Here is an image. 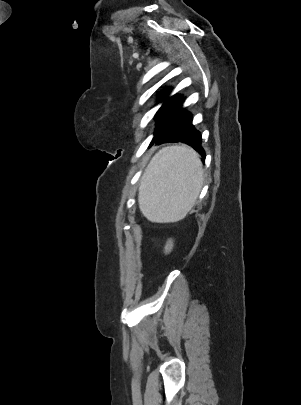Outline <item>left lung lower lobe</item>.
<instances>
[{"label": "left lung lower lobe", "instance_id": "obj_1", "mask_svg": "<svg viewBox=\"0 0 301 405\" xmlns=\"http://www.w3.org/2000/svg\"><path fill=\"white\" fill-rule=\"evenodd\" d=\"M154 142L157 144L182 142L205 158L201 134L192 125V116L185 113L180 101L170 111L160 129L155 132L151 145Z\"/></svg>", "mask_w": 301, "mask_h": 405}]
</instances>
